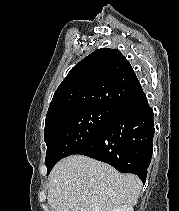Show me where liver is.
Masks as SVG:
<instances>
[{"label": "liver", "mask_w": 179, "mask_h": 211, "mask_svg": "<svg viewBox=\"0 0 179 211\" xmlns=\"http://www.w3.org/2000/svg\"><path fill=\"white\" fill-rule=\"evenodd\" d=\"M142 188L133 174L83 155L60 160L48 178L49 205L54 211H113L135 205Z\"/></svg>", "instance_id": "obj_1"}]
</instances>
